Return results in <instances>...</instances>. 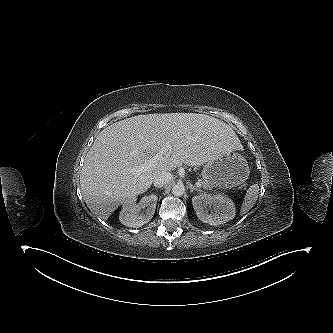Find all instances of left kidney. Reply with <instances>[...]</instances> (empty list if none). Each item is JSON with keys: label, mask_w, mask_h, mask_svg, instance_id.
Wrapping results in <instances>:
<instances>
[{"label": "left kidney", "mask_w": 333, "mask_h": 333, "mask_svg": "<svg viewBox=\"0 0 333 333\" xmlns=\"http://www.w3.org/2000/svg\"><path fill=\"white\" fill-rule=\"evenodd\" d=\"M192 205L197 217L204 223L218 226L235 217L234 202L224 195L200 194L192 198ZM209 208L212 209L209 213Z\"/></svg>", "instance_id": "left-kidney-1"}]
</instances>
